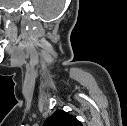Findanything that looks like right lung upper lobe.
I'll use <instances>...</instances> for the list:
<instances>
[{
	"label": "right lung upper lobe",
	"instance_id": "obj_1",
	"mask_svg": "<svg viewBox=\"0 0 127 126\" xmlns=\"http://www.w3.org/2000/svg\"><path fill=\"white\" fill-rule=\"evenodd\" d=\"M43 126H82V124L71 114L57 110L45 121Z\"/></svg>",
	"mask_w": 127,
	"mask_h": 126
}]
</instances>
